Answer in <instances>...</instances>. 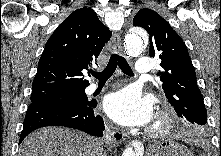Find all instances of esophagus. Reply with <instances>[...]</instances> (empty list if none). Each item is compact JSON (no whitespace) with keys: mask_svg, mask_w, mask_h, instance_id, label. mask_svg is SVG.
I'll return each mask as SVG.
<instances>
[{"mask_svg":"<svg viewBox=\"0 0 221 156\" xmlns=\"http://www.w3.org/2000/svg\"><path fill=\"white\" fill-rule=\"evenodd\" d=\"M112 48L116 53L122 55V40L119 33H114L113 35ZM112 138L116 144H119L127 139V134L118 130H114L112 132Z\"/></svg>","mask_w":221,"mask_h":156,"instance_id":"esophagus-1","label":"esophagus"}]
</instances>
